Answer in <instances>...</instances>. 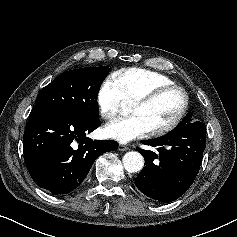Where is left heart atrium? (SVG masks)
<instances>
[{"mask_svg":"<svg viewBox=\"0 0 237 237\" xmlns=\"http://www.w3.org/2000/svg\"><path fill=\"white\" fill-rule=\"evenodd\" d=\"M149 131L144 120L138 115L118 118L104 127V133L107 137L122 143L141 138Z\"/></svg>","mask_w":237,"mask_h":237,"instance_id":"39dd6f15","label":"left heart atrium"}]
</instances>
